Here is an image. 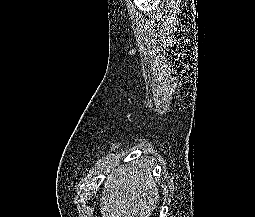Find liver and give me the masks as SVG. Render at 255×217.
<instances>
[{
    "instance_id": "liver-1",
    "label": "liver",
    "mask_w": 255,
    "mask_h": 217,
    "mask_svg": "<svg viewBox=\"0 0 255 217\" xmlns=\"http://www.w3.org/2000/svg\"><path fill=\"white\" fill-rule=\"evenodd\" d=\"M158 199L156 182L145 164L133 161L110 173L102 189V217H149Z\"/></svg>"
}]
</instances>
